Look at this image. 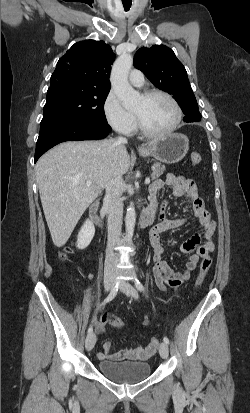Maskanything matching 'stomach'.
<instances>
[{"label": "stomach", "mask_w": 250, "mask_h": 413, "mask_svg": "<svg viewBox=\"0 0 250 413\" xmlns=\"http://www.w3.org/2000/svg\"><path fill=\"white\" fill-rule=\"evenodd\" d=\"M189 149L188 137L181 133H171L155 140L146 149L140 151L143 157L152 156L156 160L173 164L184 158Z\"/></svg>", "instance_id": "1"}]
</instances>
